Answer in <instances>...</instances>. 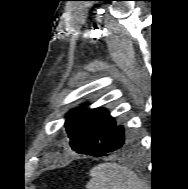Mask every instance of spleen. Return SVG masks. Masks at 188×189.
I'll return each instance as SVG.
<instances>
[{
  "instance_id": "3e777b00",
  "label": "spleen",
  "mask_w": 188,
  "mask_h": 189,
  "mask_svg": "<svg viewBox=\"0 0 188 189\" xmlns=\"http://www.w3.org/2000/svg\"><path fill=\"white\" fill-rule=\"evenodd\" d=\"M87 189H140L137 175L116 163H102L90 170Z\"/></svg>"
}]
</instances>
